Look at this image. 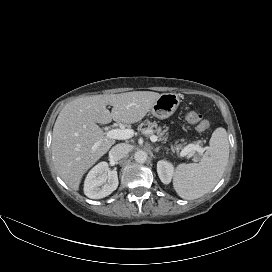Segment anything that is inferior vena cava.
Here are the masks:
<instances>
[{
	"mask_svg": "<svg viewBox=\"0 0 272 272\" xmlns=\"http://www.w3.org/2000/svg\"><path fill=\"white\" fill-rule=\"evenodd\" d=\"M131 150L129 144L120 143L112 147L109 152V158L111 161H118L124 158Z\"/></svg>",
	"mask_w": 272,
	"mask_h": 272,
	"instance_id": "602c4592",
	"label": "inferior vena cava"
}]
</instances>
